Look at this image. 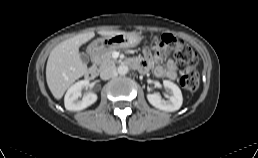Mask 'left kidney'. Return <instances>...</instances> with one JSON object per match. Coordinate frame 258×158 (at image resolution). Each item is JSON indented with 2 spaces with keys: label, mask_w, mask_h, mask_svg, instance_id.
Listing matches in <instances>:
<instances>
[{
  "label": "left kidney",
  "mask_w": 258,
  "mask_h": 158,
  "mask_svg": "<svg viewBox=\"0 0 258 158\" xmlns=\"http://www.w3.org/2000/svg\"><path fill=\"white\" fill-rule=\"evenodd\" d=\"M163 85L165 88L171 90L172 95L168 98V100H165L157 93L147 94L149 103L152 106L164 111L173 112L179 110L183 102L180 88L169 80H164Z\"/></svg>",
  "instance_id": "left-kidney-1"
}]
</instances>
